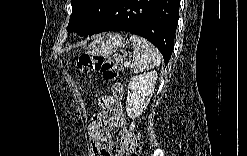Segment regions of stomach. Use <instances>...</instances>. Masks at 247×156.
Wrapping results in <instances>:
<instances>
[{"instance_id":"obj_1","label":"stomach","mask_w":247,"mask_h":156,"mask_svg":"<svg viewBox=\"0 0 247 156\" xmlns=\"http://www.w3.org/2000/svg\"><path fill=\"white\" fill-rule=\"evenodd\" d=\"M126 43L125 37L119 33H108L95 39L89 46L88 51L92 55L107 57Z\"/></svg>"}]
</instances>
